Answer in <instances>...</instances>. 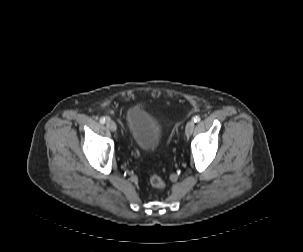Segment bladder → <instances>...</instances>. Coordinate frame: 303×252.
Returning a JSON list of instances; mask_svg holds the SVG:
<instances>
[{
  "label": "bladder",
  "instance_id": "31cf9c89",
  "mask_svg": "<svg viewBox=\"0 0 303 252\" xmlns=\"http://www.w3.org/2000/svg\"><path fill=\"white\" fill-rule=\"evenodd\" d=\"M126 122L134 145L143 153H152L162 136V129L158 122L149 112L138 107L129 109Z\"/></svg>",
  "mask_w": 303,
  "mask_h": 252
}]
</instances>
